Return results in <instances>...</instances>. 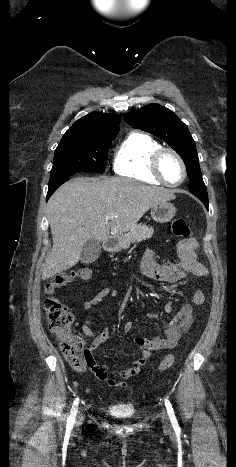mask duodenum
Returning <instances> with one entry per match:
<instances>
[{
	"mask_svg": "<svg viewBox=\"0 0 236 467\" xmlns=\"http://www.w3.org/2000/svg\"><path fill=\"white\" fill-rule=\"evenodd\" d=\"M102 246L105 251H112L114 247V241L111 238H105L102 242Z\"/></svg>",
	"mask_w": 236,
	"mask_h": 467,
	"instance_id": "410a0bca",
	"label": "duodenum"
}]
</instances>
